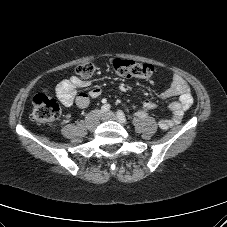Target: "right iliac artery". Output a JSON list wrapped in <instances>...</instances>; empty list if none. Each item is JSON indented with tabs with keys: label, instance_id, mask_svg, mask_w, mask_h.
<instances>
[{
	"label": "right iliac artery",
	"instance_id": "82829eb1",
	"mask_svg": "<svg viewBox=\"0 0 227 227\" xmlns=\"http://www.w3.org/2000/svg\"><path fill=\"white\" fill-rule=\"evenodd\" d=\"M110 110V105L109 104H104L102 107H101V111L102 112H107Z\"/></svg>",
	"mask_w": 227,
	"mask_h": 227
}]
</instances>
